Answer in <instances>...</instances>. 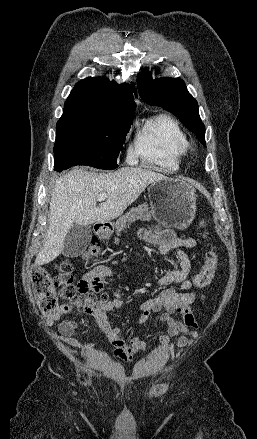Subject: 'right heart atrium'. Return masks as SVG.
Listing matches in <instances>:
<instances>
[{"label":"right heart atrium","instance_id":"1","mask_svg":"<svg viewBox=\"0 0 257 439\" xmlns=\"http://www.w3.org/2000/svg\"><path fill=\"white\" fill-rule=\"evenodd\" d=\"M135 156H136V155H135L134 151H129V152H128V156H127L128 159L133 160V159L135 158Z\"/></svg>","mask_w":257,"mask_h":439}]
</instances>
